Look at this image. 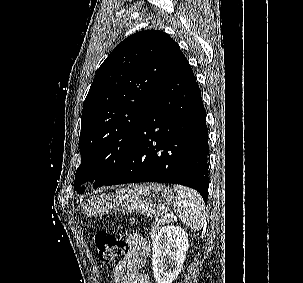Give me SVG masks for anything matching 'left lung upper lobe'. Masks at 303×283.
I'll return each instance as SVG.
<instances>
[{"instance_id": "obj_1", "label": "left lung upper lobe", "mask_w": 303, "mask_h": 283, "mask_svg": "<svg viewBox=\"0 0 303 283\" xmlns=\"http://www.w3.org/2000/svg\"><path fill=\"white\" fill-rule=\"evenodd\" d=\"M181 53L163 31L136 32L117 45L97 70L85 99L74 187L104 185L121 167L164 76Z\"/></svg>"}]
</instances>
